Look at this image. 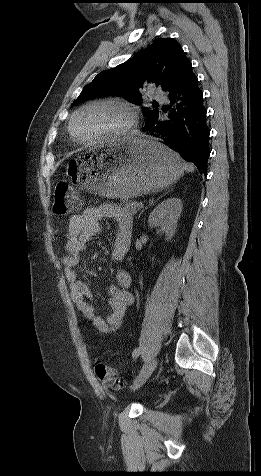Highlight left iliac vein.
<instances>
[{
	"mask_svg": "<svg viewBox=\"0 0 261 476\" xmlns=\"http://www.w3.org/2000/svg\"><path fill=\"white\" fill-rule=\"evenodd\" d=\"M157 364H158V361L156 359H151L147 361L143 365L138 376L135 378L131 388L133 390L140 388L146 382V380L151 376L153 371L156 369Z\"/></svg>",
	"mask_w": 261,
	"mask_h": 476,
	"instance_id": "1",
	"label": "left iliac vein"
}]
</instances>
